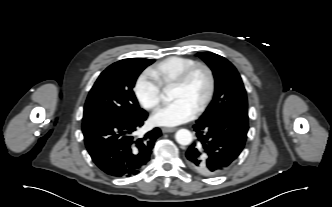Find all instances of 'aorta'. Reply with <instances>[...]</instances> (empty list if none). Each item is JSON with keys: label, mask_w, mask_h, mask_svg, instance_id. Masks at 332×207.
<instances>
[{"label": "aorta", "mask_w": 332, "mask_h": 207, "mask_svg": "<svg viewBox=\"0 0 332 207\" xmlns=\"http://www.w3.org/2000/svg\"><path fill=\"white\" fill-rule=\"evenodd\" d=\"M175 139L180 145H189L192 142V134L187 129H180L176 132Z\"/></svg>", "instance_id": "obj_1"}]
</instances>
